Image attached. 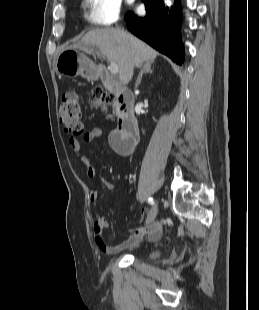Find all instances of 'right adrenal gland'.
Here are the masks:
<instances>
[{
  "label": "right adrenal gland",
  "mask_w": 259,
  "mask_h": 310,
  "mask_svg": "<svg viewBox=\"0 0 259 310\" xmlns=\"http://www.w3.org/2000/svg\"><path fill=\"white\" fill-rule=\"evenodd\" d=\"M152 64H153V62H145L144 63V65L140 71V74L136 80V84H135L136 87H138L141 84V79H142L144 73H152V70H151Z\"/></svg>",
  "instance_id": "right-adrenal-gland-1"
}]
</instances>
